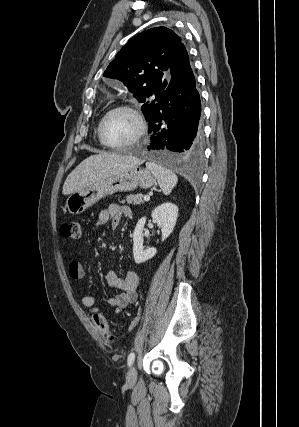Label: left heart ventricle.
I'll use <instances>...</instances> for the list:
<instances>
[{"mask_svg": "<svg viewBox=\"0 0 299 427\" xmlns=\"http://www.w3.org/2000/svg\"><path fill=\"white\" fill-rule=\"evenodd\" d=\"M137 131L135 119L125 111H118L109 116L103 128L106 142L123 144L133 138Z\"/></svg>", "mask_w": 299, "mask_h": 427, "instance_id": "obj_1", "label": "left heart ventricle"}]
</instances>
